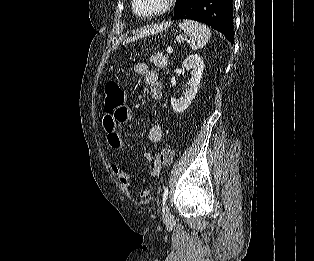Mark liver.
<instances>
[{"instance_id":"obj_1","label":"liver","mask_w":314,"mask_h":261,"mask_svg":"<svg viewBox=\"0 0 314 261\" xmlns=\"http://www.w3.org/2000/svg\"><path fill=\"white\" fill-rule=\"evenodd\" d=\"M145 34H146V33L144 32V33H141V34L138 35V36H135V37H133V38L127 39V40L125 41V43H129L130 41L135 40V39H137V38H139V37H142V36H144Z\"/></svg>"}]
</instances>
